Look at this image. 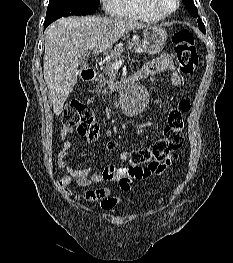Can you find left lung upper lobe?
<instances>
[{"label":"left lung upper lobe","mask_w":233,"mask_h":263,"mask_svg":"<svg viewBox=\"0 0 233 263\" xmlns=\"http://www.w3.org/2000/svg\"><path fill=\"white\" fill-rule=\"evenodd\" d=\"M183 3L185 4L186 9H188L189 13L193 15L194 17H198V26L201 31H205V26L203 22L201 21L200 17L198 16V10L194 5L193 0H183Z\"/></svg>","instance_id":"5c2ea615"}]
</instances>
